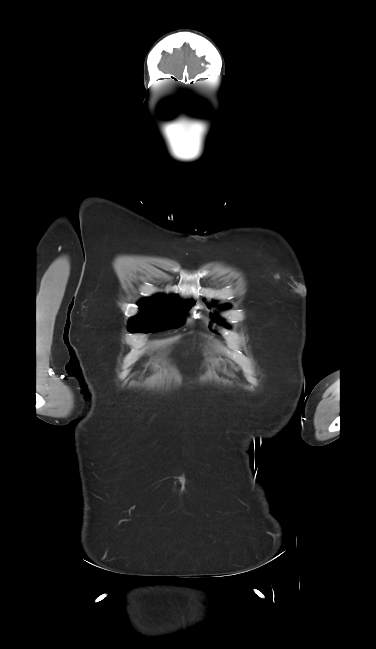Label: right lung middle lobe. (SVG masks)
I'll list each match as a JSON object with an SVG mask.
<instances>
[{
  "instance_id": "1",
  "label": "right lung middle lobe",
  "mask_w": 376,
  "mask_h": 649,
  "mask_svg": "<svg viewBox=\"0 0 376 649\" xmlns=\"http://www.w3.org/2000/svg\"><path fill=\"white\" fill-rule=\"evenodd\" d=\"M181 304V305H180ZM192 305V301L189 302ZM140 314L129 320L131 332H159L177 328L184 320L180 312L190 307L175 297L158 294L139 302Z\"/></svg>"
}]
</instances>
